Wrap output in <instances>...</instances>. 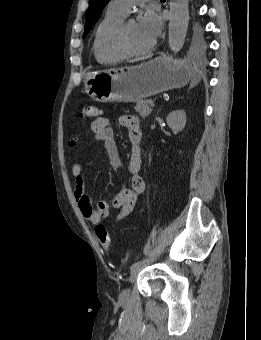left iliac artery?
Segmentation results:
<instances>
[{"mask_svg":"<svg viewBox=\"0 0 261 340\" xmlns=\"http://www.w3.org/2000/svg\"><path fill=\"white\" fill-rule=\"evenodd\" d=\"M150 260H151V257H146V258H143V259H141V260L135 262V263L131 266V270H133L134 268L143 266L144 264L148 263Z\"/></svg>","mask_w":261,"mask_h":340,"instance_id":"left-iliac-artery-1","label":"left iliac artery"}]
</instances>
